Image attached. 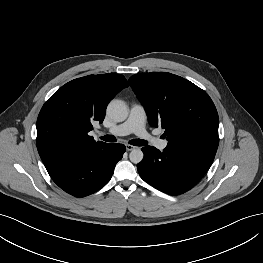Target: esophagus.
<instances>
[{"label": "esophagus", "mask_w": 263, "mask_h": 263, "mask_svg": "<svg viewBox=\"0 0 263 263\" xmlns=\"http://www.w3.org/2000/svg\"><path fill=\"white\" fill-rule=\"evenodd\" d=\"M135 148H136V147L133 146V145L126 144V150H127V151H132V150H134Z\"/></svg>", "instance_id": "1"}]
</instances>
